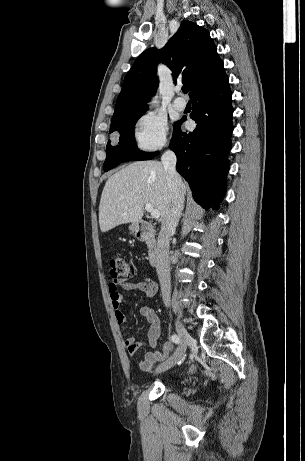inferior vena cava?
I'll return each mask as SVG.
<instances>
[{"instance_id":"inferior-vena-cava-1","label":"inferior vena cava","mask_w":305,"mask_h":461,"mask_svg":"<svg viewBox=\"0 0 305 461\" xmlns=\"http://www.w3.org/2000/svg\"><path fill=\"white\" fill-rule=\"evenodd\" d=\"M161 162L166 172L167 184L170 191L169 206L163 217L161 230L156 246V271L160 282L163 301L166 305L170 302V261L169 237L175 232L184 204L182 180L176 172V155L171 150L166 151Z\"/></svg>"}]
</instances>
